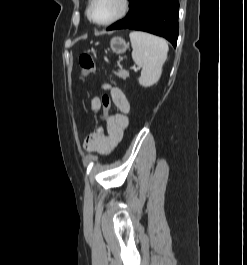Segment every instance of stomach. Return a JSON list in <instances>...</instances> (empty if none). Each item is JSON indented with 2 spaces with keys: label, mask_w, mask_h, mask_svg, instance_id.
Instances as JSON below:
<instances>
[{
  "label": "stomach",
  "mask_w": 247,
  "mask_h": 265,
  "mask_svg": "<svg viewBox=\"0 0 247 265\" xmlns=\"http://www.w3.org/2000/svg\"><path fill=\"white\" fill-rule=\"evenodd\" d=\"M110 47L113 53L120 55L126 52V50L128 49V44L123 38L114 37L111 39Z\"/></svg>",
  "instance_id": "stomach-1"
}]
</instances>
